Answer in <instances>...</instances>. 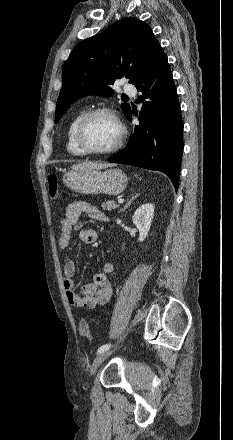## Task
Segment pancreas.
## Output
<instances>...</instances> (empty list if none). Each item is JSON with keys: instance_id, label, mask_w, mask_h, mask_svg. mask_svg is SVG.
Masks as SVG:
<instances>
[{"instance_id": "1", "label": "pancreas", "mask_w": 233, "mask_h": 440, "mask_svg": "<svg viewBox=\"0 0 233 440\" xmlns=\"http://www.w3.org/2000/svg\"><path fill=\"white\" fill-rule=\"evenodd\" d=\"M118 207H119V205L116 204L114 201H107V202L102 203V205H101V208L105 211H112Z\"/></svg>"}]
</instances>
